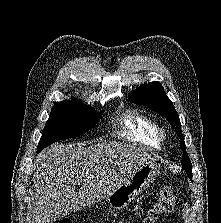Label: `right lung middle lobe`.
Here are the masks:
<instances>
[{"mask_svg": "<svg viewBox=\"0 0 221 223\" xmlns=\"http://www.w3.org/2000/svg\"><path fill=\"white\" fill-rule=\"evenodd\" d=\"M102 113L83 103L55 104L38 144V152L56 141L83 135L97 124Z\"/></svg>", "mask_w": 221, "mask_h": 223, "instance_id": "right-lung-middle-lobe-1", "label": "right lung middle lobe"}]
</instances>
